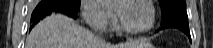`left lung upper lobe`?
Here are the masks:
<instances>
[{"instance_id":"5c2ea615","label":"left lung upper lobe","mask_w":213,"mask_h":48,"mask_svg":"<svg viewBox=\"0 0 213 48\" xmlns=\"http://www.w3.org/2000/svg\"><path fill=\"white\" fill-rule=\"evenodd\" d=\"M162 9V20L175 18L188 20L185 0H159Z\"/></svg>"}]
</instances>
